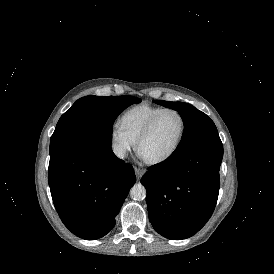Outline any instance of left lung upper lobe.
Masks as SVG:
<instances>
[{
	"instance_id": "5c2ea615",
	"label": "left lung upper lobe",
	"mask_w": 274,
	"mask_h": 274,
	"mask_svg": "<svg viewBox=\"0 0 274 274\" xmlns=\"http://www.w3.org/2000/svg\"><path fill=\"white\" fill-rule=\"evenodd\" d=\"M155 103L174 109L184 123L182 140L172 155L182 154L206 143L221 142L214 122L194 106L183 102L154 100Z\"/></svg>"
}]
</instances>
